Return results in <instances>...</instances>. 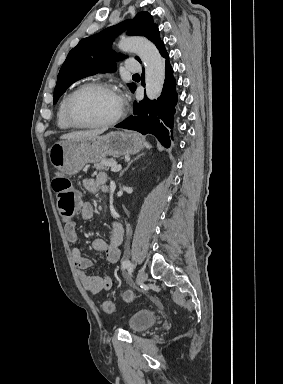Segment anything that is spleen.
Here are the masks:
<instances>
[{
    "mask_svg": "<svg viewBox=\"0 0 283 384\" xmlns=\"http://www.w3.org/2000/svg\"><path fill=\"white\" fill-rule=\"evenodd\" d=\"M145 148H148V150H150V148H152V146H150V144H148V142H145Z\"/></svg>",
    "mask_w": 283,
    "mask_h": 384,
    "instance_id": "3e777b00",
    "label": "spleen"
}]
</instances>
